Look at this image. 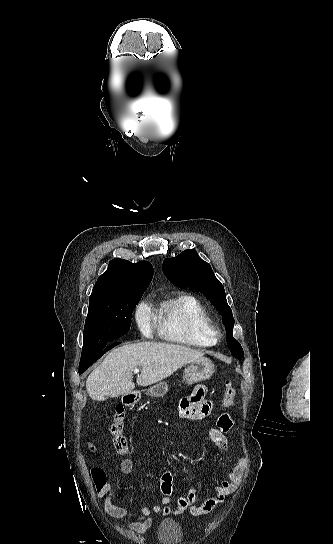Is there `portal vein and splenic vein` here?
<instances>
[{
	"instance_id": "obj_1",
	"label": "portal vein and splenic vein",
	"mask_w": 333,
	"mask_h": 544,
	"mask_svg": "<svg viewBox=\"0 0 333 544\" xmlns=\"http://www.w3.org/2000/svg\"><path fill=\"white\" fill-rule=\"evenodd\" d=\"M133 371H134L135 373H139L140 370H139V368L136 367V368H134Z\"/></svg>"
}]
</instances>
